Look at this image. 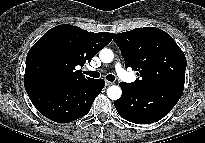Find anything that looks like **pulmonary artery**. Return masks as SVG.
I'll use <instances>...</instances> for the list:
<instances>
[{
    "label": "pulmonary artery",
    "mask_w": 205,
    "mask_h": 143,
    "mask_svg": "<svg viewBox=\"0 0 205 143\" xmlns=\"http://www.w3.org/2000/svg\"><path fill=\"white\" fill-rule=\"evenodd\" d=\"M115 69H116V72H117L118 76H119L122 80L127 81V82L133 81V77H132L130 74H128V73L122 68V66H121L120 63H117V64L115 65Z\"/></svg>",
    "instance_id": "pulmonary-artery-1"
}]
</instances>
